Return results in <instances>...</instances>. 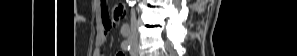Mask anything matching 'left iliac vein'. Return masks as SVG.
I'll list each match as a JSON object with an SVG mask.
<instances>
[{"label":"left iliac vein","mask_w":297,"mask_h":56,"mask_svg":"<svg viewBox=\"0 0 297 56\" xmlns=\"http://www.w3.org/2000/svg\"><path fill=\"white\" fill-rule=\"evenodd\" d=\"M130 54H131L132 56H137V55H138V48H137V43H136V42H132V43H131Z\"/></svg>","instance_id":"left-iliac-vein-1"}]
</instances>
